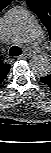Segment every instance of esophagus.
Returning <instances> with one entry per match:
<instances>
[{"label":"esophagus","instance_id":"esophagus-1","mask_svg":"<svg viewBox=\"0 0 51 153\" xmlns=\"http://www.w3.org/2000/svg\"><path fill=\"white\" fill-rule=\"evenodd\" d=\"M30 57V54L28 53H23L21 56H19V59H27Z\"/></svg>","mask_w":51,"mask_h":153}]
</instances>
